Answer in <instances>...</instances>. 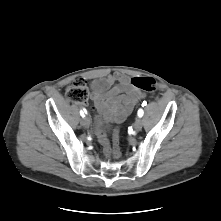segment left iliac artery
Returning a JSON list of instances; mask_svg holds the SVG:
<instances>
[{"label":"left iliac artery","mask_w":221,"mask_h":221,"mask_svg":"<svg viewBox=\"0 0 221 221\" xmlns=\"http://www.w3.org/2000/svg\"><path fill=\"white\" fill-rule=\"evenodd\" d=\"M145 105H146V102L144 101V102L142 103V106H145ZM137 114H138L139 117H142L143 114H144V112H143L142 109H139Z\"/></svg>","instance_id":"obj_1"}]
</instances>
